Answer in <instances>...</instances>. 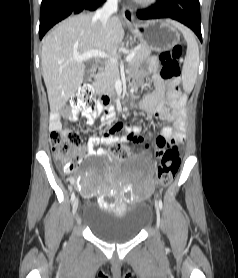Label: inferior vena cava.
<instances>
[{"instance_id": "obj_1", "label": "inferior vena cava", "mask_w": 238, "mask_h": 278, "mask_svg": "<svg viewBox=\"0 0 238 278\" xmlns=\"http://www.w3.org/2000/svg\"><path fill=\"white\" fill-rule=\"evenodd\" d=\"M118 0H107L101 9L95 13V18L99 19L103 27H106L110 16L117 11Z\"/></svg>"}]
</instances>
